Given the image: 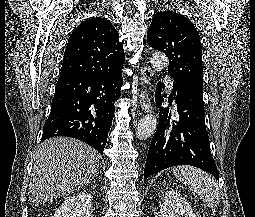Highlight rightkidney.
<instances>
[{"label": "right kidney", "instance_id": "obj_1", "mask_svg": "<svg viewBox=\"0 0 255 217\" xmlns=\"http://www.w3.org/2000/svg\"><path fill=\"white\" fill-rule=\"evenodd\" d=\"M92 197L87 192H79L66 199L56 210L54 217H90Z\"/></svg>", "mask_w": 255, "mask_h": 217}]
</instances>
